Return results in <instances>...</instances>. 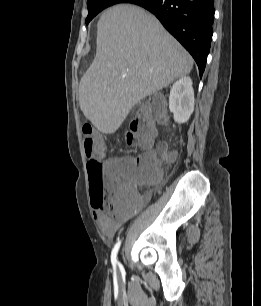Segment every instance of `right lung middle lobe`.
<instances>
[{"label":"right lung middle lobe","mask_w":261,"mask_h":306,"mask_svg":"<svg viewBox=\"0 0 261 306\" xmlns=\"http://www.w3.org/2000/svg\"><path fill=\"white\" fill-rule=\"evenodd\" d=\"M128 2L127 0H87L88 16L86 23L88 24L103 9L117 4Z\"/></svg>","instance_id":"1"}]
</instances>
